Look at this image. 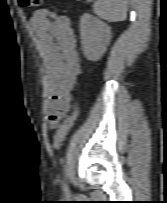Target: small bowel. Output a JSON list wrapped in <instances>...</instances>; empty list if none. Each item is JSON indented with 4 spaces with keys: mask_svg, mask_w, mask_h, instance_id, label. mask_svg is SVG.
Returning <instances> with one entry per match:
<instances>
[{
    "mask_svg": "<svg viewBox=\"0 0 167 203\" xmlns=\"http://www.w3.org/2000/svg\"><path fill=\"white\" fill-rule=\"evenodd\" d=\"M31 23L45 69L46 121L53 129L69 113L72 92L83 71L75 33L68 17L50 16L40 10L33 14Z\"/></svg>",
    "mask_w": 167,
    "mask_h": 203,
    "instance_id": "1",
    "label": "small bowel"
}]
</instances>
